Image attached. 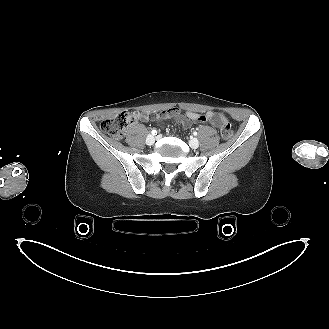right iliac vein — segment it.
<instances>
[{"label": "right iliac vein", "mask_w": 329, "mask_h": 329, "mask_svg": "<svg viewBox=\"0 0 329 329\" xmlns=\"http://www.w3.org/2000/svg\"><path fill=\"white\" fill-rule=\"evenodd\" d=\"M154 142H155V137L152 136V135H148L147 138H146V144L147 145H152V144H154Z\"/></svg>", "instance_id": "1"}]
</instances>
